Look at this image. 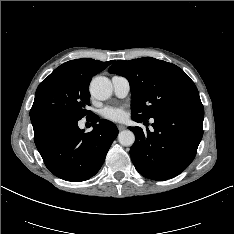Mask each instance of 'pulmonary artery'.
<instances>
[{
    "label": "pulmonary artery",
    "instance_id": "1",
    "mask_svg": "<svg viewBox=\"0 0 234 234\" xmlns=\"http://www.w3.org/2000/svg\"><path fill=\"white\" fill-rule=\"evenodd\" d=\"M111 80L116 96H118L119 98L126 97L130 91V83L128 79L123 76L115 75L112 77Z\"/></svg>",
    "mask_w": 234,
    "mask_h": 234
}]
</instances>
